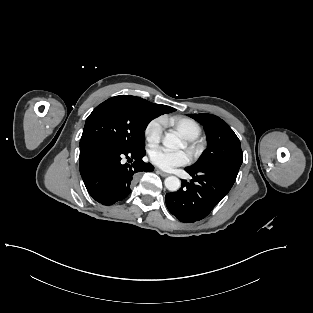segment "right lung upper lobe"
Segmentation results:
<instances>
[{
	"label": "right lung upper lobe",
	"mask_w": 313,
	"mask_h": 313,
	"mask_svg": "<svg viewBox=\"0 0 313 313\" xmlns=\"http://www.w3.org/2000/svg\"><path fill=\"white\" fill-rule=\"evenodd\" d=\"M151 105H152L153 109H154L157 113H159L160 115L175 111L174 108L169 107V106H166V105L154 104V103H151Z\"/></svg>",
	"instance_id": "obj_1"
}]
</instances>
